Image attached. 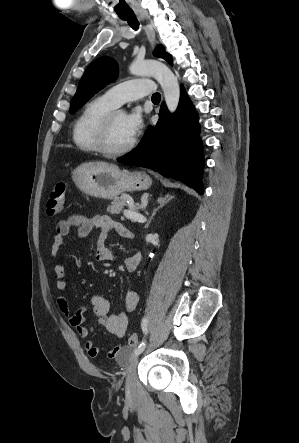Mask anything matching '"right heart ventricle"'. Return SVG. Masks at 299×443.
Returning <instances> with one entry per match:
<instances>
[{"instance_id": "right-heart-ventricle-1", "label": "right heart ventricle", "mask_w": 299, "mask_h": 443, "mask_svg": "<svg viewBox=\"0 0 299 443\" xmlns=\"http://www.w3.org/2000/svg\"><path fill=\"white\" fill-rule=\"evenodd\" d=\"M104 96L88 102L77 117L72 132L75 146L82 152L97 153V131L102 118L115 109Z\"/></svg>"}]
</instances>
